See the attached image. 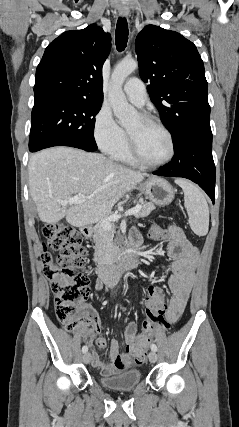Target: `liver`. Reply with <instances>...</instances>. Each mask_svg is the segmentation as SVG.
I'll return each instance as SVG.
<instances>
[{"mask_svg":"<svg viewBox=\"0 0 239 427\" xmlns=\"http://www.w3.org/2000/svg\"><path fill=\"white\" fill-rule=\"evenodd\" d=\"M29 192L42 222L64 217L75 227L106 218L117 201L144 179V175L98 153L53 147L33 154L28 163ZM73 195L86 200L62 204Z\"/></svg>","mask_w":239,"mask_h":427,"instance_id":"obj_1","label":"liver"}]
</instances>
